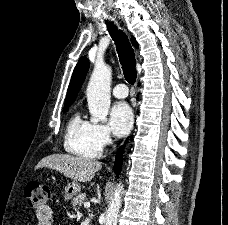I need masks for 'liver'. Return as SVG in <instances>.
I'll use <instances>...</instances> for the list:
<instances>
[{
  "instance_id": "1",
  "label": "liver",
  "mask_w": 228,
  "mask_h": 225,
  "mask_svg": "<svg viewBox=\"0 0 228 225\" xmlns=\"http://www.w3.org/2000/svg\"><path fill=\"white\" fill-rule=\"evenodd\" d=\"M43 167L59 171L64 177L73 181L88 183L94 179L95 173L102 169V163L93 159H84V157H73V155H49L36 165V169H43Z\"/></svg>"
}]
</instances>
